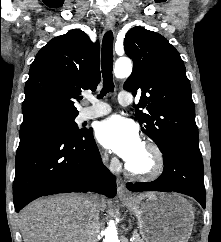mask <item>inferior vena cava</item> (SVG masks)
Listing matches in <instances>:
<instances>
[{"label": "inferior vena cava", "mask_w": 221, "mask_h": 242, "mask_svg": "<svg viewBox=\"0 0 221 242\" xmlns=\"http://www.w3.org/2000/svg\"><path fill=\"white\" fill-rule=\"evenodd\" d=\"M85 221L84 242H95L99 233V197L95 194L87 195L83 201Z\"/></svg>", "instance_id": "inferior-vena-cava-1"}]
</instances>
